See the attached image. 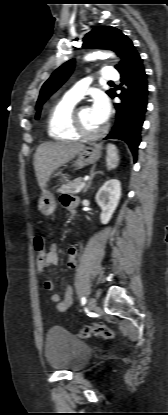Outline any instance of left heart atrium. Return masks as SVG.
I'll return each mask as SVG.
<instances>
[{
  "label": "left heart atrium",
  "mask_w": 168,
  "mask_h": 415,
  "mask_svg": "<svg viewBox=\"0 0 168 415\" xmlns=\"http://www.w3.org/2000/svg\"><path fill=\"white\" fill-rule=\"evenodd\" d=\"M90 109L94 119L99 124L105 123L110 114V105L107 97L103 93L97 92L93 96V102Z\"/></svg>",
  "instance_id": "1"
}]
</instances>
